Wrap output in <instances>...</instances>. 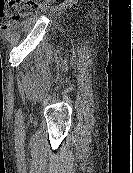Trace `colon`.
<instances>
[{
	"label": "colon",
	"mask_w": 133,
	"mask_h": 173,
	"mask_svg": "<svg viewBox=\"0 0 133 173\" xmlns=\"http://www.w3.org/2000/svg\"><path fill=\"white\" fill-rule=\"evenodd\" d=\"M52 0H0V28L12 27L21 18L28 16Z\"/></svg>",
	"instance_id": "colon-1"
}]
</instances>
